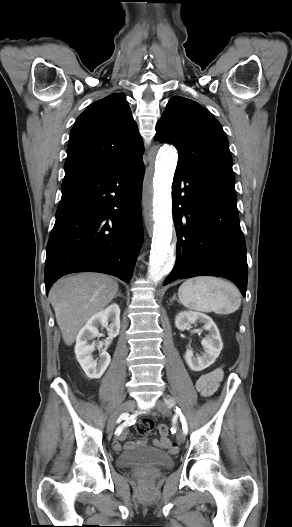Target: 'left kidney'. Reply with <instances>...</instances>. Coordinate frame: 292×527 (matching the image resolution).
Segmentation results:
<instances>
[{"label":"left kidney","mask_w":292,"mask_h":527,"mask_svg":"<svg viewBox=\"0 0 292 527\" xmlns=\"http://www.w3.org/2000/svg\"><path fill=\"white\" fill-rule=\"evenodd\" d=\"M194 323H203V329L209 332V335L201 342L204 353L194 357L193 351L188 348L184 358L191 370L202 371L215 362L223 348V343L216 324L209 316L200 312L184 311L175 318V326L181 331Z\"/></svg>","instance_id":"left-kidney-1"}]
</instances>
